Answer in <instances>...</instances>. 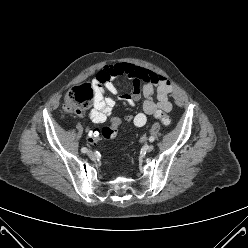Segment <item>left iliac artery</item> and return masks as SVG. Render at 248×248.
<instances>
[{
	"instance_id": "44dca946",
	"label": "left iliac artery",
	"mask_w": 248,
	"mask_h": 248,
	"mask_svg": "<svg viewBox=\"0 0 248 248\" xmlns=\"http://www.w3.org/2000/svg\"><path fill=\"white\" fill-rule=\"evenodd\" d=\"M154 139H155V138H154L153 136H150V137H149V141H150V142H153Z\"/></svg>"
}]
</instances>
